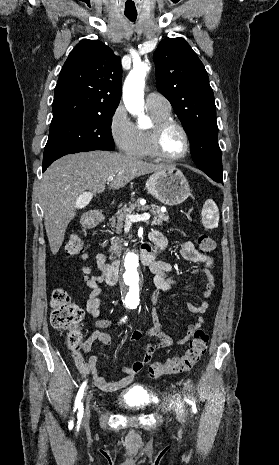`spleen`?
<instances>
[{
  "label": "spleen",
  "mask_w": 279,
  "mask_h": 465,
  "mask_svg": "<svg viewBox=\"0 0 279 465\" xmlns=\"http://www.w3.org/2000/svg\"><path fill=\"white\" fill-rule=\"evenodd\" d=\"M202 224L207 229L218 227L219 210L215 202L211 199L207 200L202 208Z\"/></svg>",
  "instance_id": "3e777b00"
}]
</instances>
